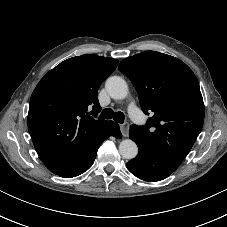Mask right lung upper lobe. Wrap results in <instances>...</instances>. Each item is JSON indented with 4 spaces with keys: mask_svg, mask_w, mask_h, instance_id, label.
<instances>
[{
    "mask_svg": "<svg viewBox=\"0 0 227 227\" xmlns=\"http://www.w3.org/2000/svg\"><path fill=\"white\" fill-rule=\"evenodd\" d=\"M118 60L87 54L50 70L32 93L28 129L36 152L54 174L77 163L109 129L112 121L91 117L100 112L97 92Z\"/></svg>",
    "mask_w": 227,
    "mask_h": 227,
    "instance_id": "1",
    "label": "right lung upper lobe"
}]
</instances>
